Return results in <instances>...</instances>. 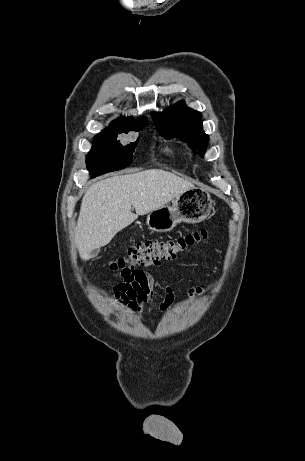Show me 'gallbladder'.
Returning a JSON list of instances; mask_svg holds the SVG:
<instances>
[{
    "instance_id": "bac80fb5",
    "label": "gallbladder",
    "mask_w": 305,
    "mask_h": 461,
    "mask_svg": "<svg viewBox=\"0 0 305 461\" xmlns=\"http://www.w3.org/2000/svg\"><path fill=\"white\" fill-rule=\"evenodd\" d=\"M99 252H100V250H99V249H95V250H93V251H92V253H91V258H95V257H97V256H98V254H99Z\"/></svg>"
}]
</instances>
